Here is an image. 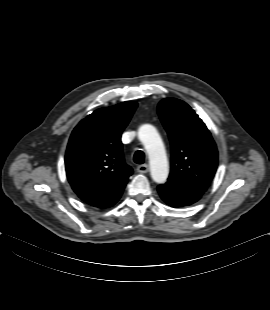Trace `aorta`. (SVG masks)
Masks as SVG:
<instances>
[{"label": "aorta", "mask_w": 270, "mask_h": 310, "mask_svg": "<svg viewBox=\"0 0 270 310\" xmlns=\"http://www.w3.org/2000/svg\"><path fill=\"white\" fill-rule=\"evenodd\" d=\"M138 137L147 151L152 179L156 183H164L168 178L169 166L163 142L156 128L144 124L139 128Z\"/></svg>", "instance_id": "762f6f07"}]
</instances>
